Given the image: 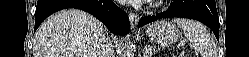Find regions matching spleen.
<instances>
[{
    "mask_svg": "<svg viewBox=\"0 0 249 57\" xmlns=\"http://www.w3.org/2000/svg\"><path fill=\"white\" fill-rule=\"evenodd\" d=\"M173 21L181 26L186 39L196 51H199L203 57H215V42L201 23L185 18H175Z\"/></svg>",
    "mask_w": 249,
    "mask_h": 57,
    "instance_id": "obj_1",
    "label": "spleen"
}]
</instances>
